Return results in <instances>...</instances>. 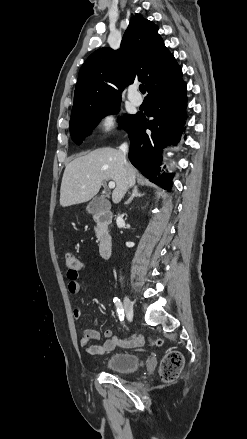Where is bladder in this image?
Masks as SVG:
<instances>
[{"instance_id": "bladder-1", "label": "bladder", "mask_w": 247, "mask_h": 439, "mask_svg": "<svg viewBox=\"0 0 247 439\" xmlns=\"http://www.w3.org/2000/svg\"><path fill=\"white\" fill-rule=\"evenodd\" d=\"M105 367L115 373L134 372L140 367V357L131 352L114 353L105 361Z\"/></svg>"}]
</instances>
